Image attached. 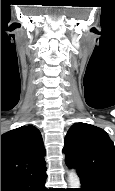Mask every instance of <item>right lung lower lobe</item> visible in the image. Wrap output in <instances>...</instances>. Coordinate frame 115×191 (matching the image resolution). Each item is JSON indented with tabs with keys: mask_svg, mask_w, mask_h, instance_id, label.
<instances>
[{
	"mask_svg": "<svg viewBox=\"0 0 115 191\" xmlns=\"http://www.w3.org/2000/svg\"><path fill=\"white\" fill-rule=\"evenodd\" d=\"M46 178V173H43L21 180H2L1 191H47Z\"/></svg>",
	"mask_w": 115,
	"mask_h": 191,
	"instance_id": "1",
	"label": "right lung lower lobe"
}]
</instances>
